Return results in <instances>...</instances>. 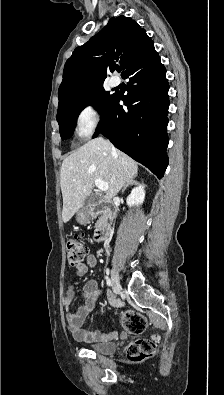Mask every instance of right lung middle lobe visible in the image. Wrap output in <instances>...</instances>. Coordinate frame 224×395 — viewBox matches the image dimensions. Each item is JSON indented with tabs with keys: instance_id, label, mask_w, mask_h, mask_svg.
Returning a JSON list of instances; mask_svg holds the SVG:
<instances>
[{
	"instance_id": "right-lung-middle-lobe-1",
	"label": "right lung middle lobe",
	"mask_w": 224,
	"mask_h": 395,
	"mask_svg": "<svg viewBox=\"0 0 224 395\" xmlns=\"http://www.w3.org/2000/svg\"><path fill=\"white\" fill-rule=\"evenodd\" d=\"M115 94H109L103 86H97L83 93H80L58 108L57 121L61 138L68 139L74 133L76 121L79 113L89 105L95 106L103 115L111 104Z\"/></svg>"
}]
</instances>
